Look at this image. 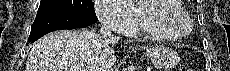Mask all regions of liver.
Masks as SVG:
<instances>
[{
    "mask_svg": "<svg viewBox=\"0 0 230 71\" xmlns=\"http://www.w3.org/2000/svg\"><path fill=\"white\" fill-rule=\"evenodd\" d=\"M117 42L88 30L53 32L33 44L25 71H110Z\"/></svg>",
    "mask_w": 230,
    "mask_h": 71,
    "instance_id": "6515ba94",
    "label": "liver"
}]
</instances>
